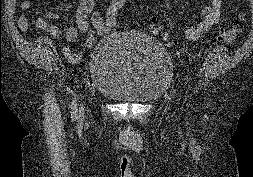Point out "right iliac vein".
<instances>
[{"mask_svg":"<svg viewBox=\"0 0 253 177\" xmlns=\"http://www.w3.org/2000/svg\"><path fill=\"white\" fill-rule=\"evenodd\" d=\"M84 111L83 107L81 108L80 112L82 113Z\"/></svg>","mask_w":253,"mask_h":177,"instance_id":"63e3f726","label":"right iliac vein"}]
</instances>
